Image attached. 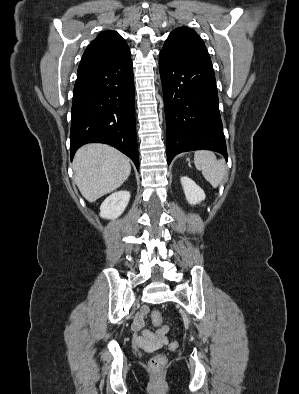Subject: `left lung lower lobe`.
I'll return each mask as SVG.
<instances>
[{
	"label": "left lung lower lobe",
	"mask_w": 299,
	"mask_h": 394,
	"mask_svg": "<svg viewBox=\"0 0 299 394\" xmlns=\"http://www.w3.org/2000/svg\"><path fill=\"white\" fill-rule=\"evenodd\" d=\"M168 164L179 153L213 150L227 159L211 59L175 57L161 50Z\"/></svg>",
	"instance_id": "left-lung-lower-lobe-1"
}]
</instances>
